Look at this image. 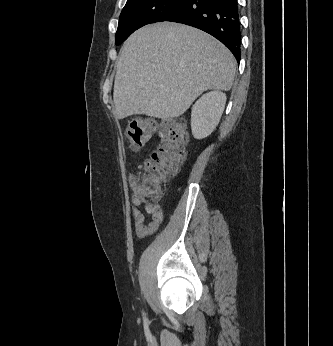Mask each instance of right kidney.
Here are the masks:
<instances>
[{"label": "right kidney", "instance_id": "ca27d5eb", "mask_svg": "<svg viewBox=\"0 0 333 346\" xmlns=\"http://www.w3.org/2000/svg\"><path fill=\"white\" fill-rule=\"evenodd\" d=\"M226 95L219 91L204 94L192 107L191 129L194 138L209 136L218 125L225 108Z\"/></svg>", "mask_w": 333, "mask_h": 346}]
</instances>
